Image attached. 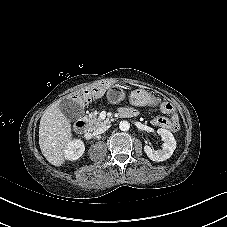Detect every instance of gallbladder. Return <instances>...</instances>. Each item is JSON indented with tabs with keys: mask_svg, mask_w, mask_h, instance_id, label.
Returning <instances> with one entry per match:
<instances>
[{
	"mask_svg": "<svg viewBox=\"0 0 227 227\" xmlns=\"http://www.w3.org/2000/svg\"><path fill=\"white\" fill-rule=\"evenodd\" d=\"M59 108L65 115V117L69 120H76L84 114L82 105L70 99L62 100L59 104Z\"/></svg>",
	"mask_w": 227,
	"mask_h": 227,
	"instance_id": "1",
	"label": "gallbladder"
}]
</instances>
